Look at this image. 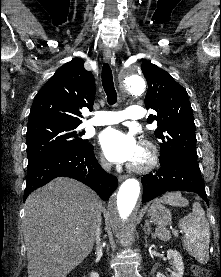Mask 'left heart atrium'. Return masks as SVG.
Wrapping results in <instances>:
<instances>
[{
    "label": "left heart atrium",
    "instance_id": "39dd6f15",
    "mask_svg": "<svg viewBox=\"0 0 221 277\" xmlns=\"http://www.w3.org/2000/svg\"><path fill=\"white\" fill-rule=\"evenodd\" d=\"M100 144L108 160L116 163L133 161L140 149L132 134L112 128L101 133Z\"/></svg>",
    "mask_w": 221,
    "mask_h": 277
}]
</instances>
